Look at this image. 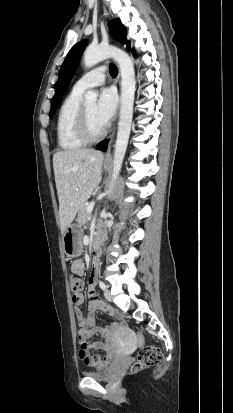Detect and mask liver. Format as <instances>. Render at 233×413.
Masks as SVG:
<instances>
[{"instance_id":"6515ba94","label":"liver","mask_w":233,"mask_h":413,"mask_svg":"<svg viewBox=\"0 0 233 413\" xmlns=\"http://www.w3.org/2000/svg\"><path fill=\"white\" fill-rule=\"evenodd\" d=\"M103 159V154L93 149L59 151L53 155L63 232L100 183Z\"/></svg>"}]
</instances>
